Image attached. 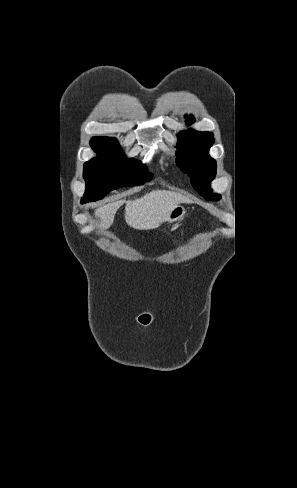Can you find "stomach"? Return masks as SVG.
I'll return each mask as SVG.
<instances>
[{
  "label": "stomach",
  "mask_w": 297,
  "mask_h": 488,
  "mask_svg": "<svg viewBox=\"0 0 297 488\" xmlns=\"http://www.w3.org/2000/svg\"><path fill=\"white\" fill-rule=\"evenodd\" d=\"M186 213V209L181 206H175L167 215L166 219L163 222L173 223L176 222L184 217Z\"/></svg>",
  "instance_id": "obj_1"
}]
</instances>
